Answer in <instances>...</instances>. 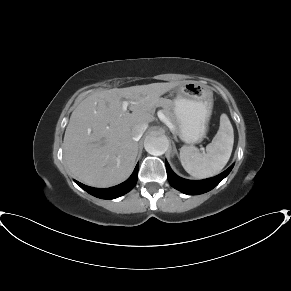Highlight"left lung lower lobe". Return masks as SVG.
<instances>
[{
  "label": "left lung lower lobe",
  "instance_id": "1",
  "mask_svg": "<svg viewBox=\"0 0 291 291\" xmlns=\"http://www.w3.org/2000/svg\"><path fill=\"white\" fill-rule=\"evenodd\" d=\"M165 163H166V170H167V178L170 185L174 187L175 189L189 195H197V194H202V193L210 191L216 185H218L230 173V171L233 168V165H232L226 171L222 172L221 174L213 178L193 181V180L183 179L177 176L171 170L168 162L166 161Z\"/></svg>",
  "mask_w": 291,
  "mask_h": 291
}]
</instances>
